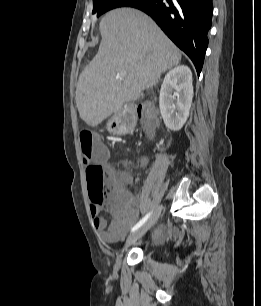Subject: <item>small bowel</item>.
<instances>
[{"mask_svg": "<svg viewBox=\"0 0 261 306\" xmlns=\"http://www.w3.org/2000/svg\"><path fill=\"white\" fill-rule=\"evenodd\" d=\"M131 183L132 175L127 165L112 173L106 206L113 218L111 223L99 216L101 206L91 205L90 207L94 227L100 239L107 244H114L123 239L139 217L140 209L127 190Z\"/></svg>", "mask_w": 261, "mask_h": 306, "instance_id": "obj_1", "label": "small bowel"}]
</instances>
